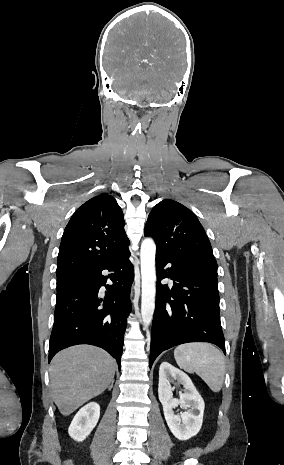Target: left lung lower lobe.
I'll return each instance as SVG.
<instances>
[{"mask_svg": "<svg viewBox=\"0 0 284 465\" xmlns=\"http://www.w3.org/2000/svg\"><path fill=\"white\" fill-rule=\"evenodd\" d=\"M157 295L152 323L149 367L156 357L173 346L209 342L225 353L220 323L217 276L157 252ZM171 263V267H166ZM164 278L174 280L171 290Z\"/></svg>", "mask_w": 284, "mask_h": 465, "instance_id": "0a47b994", "label": "left lung lower lobe"}]
</instances>
